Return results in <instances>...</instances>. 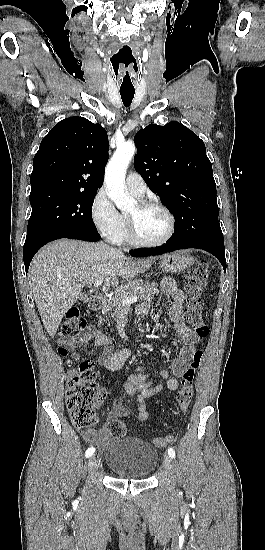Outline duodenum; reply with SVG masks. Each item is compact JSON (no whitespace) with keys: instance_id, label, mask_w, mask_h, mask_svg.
<instances>
[{"instance_id":"obj_1","label":"duodenum","mask_w":265,"mask_h":550,"mask_svg":"<svg viewBox=\"0 0 265 550\" xmlns=\"http://www.w3.org/2000/svg\"><path fill=\"white\" fill-rule=\"evenodd\" d=\"M104 302H105V299L102 295H96L90 300L89 308L92 311H98L102 308Z\"/></svg>"}]
</instances>
